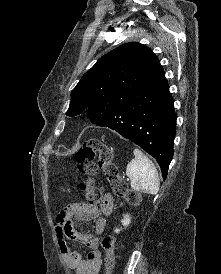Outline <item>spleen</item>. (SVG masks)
Returning <instances> with one entry per match:
<instances>
[{
	"mask_svg": "<svg viewBox=\"0 0 221 274\" xmlns=\"http://www.w3.org/2000/svg\"><path fill=\"white\" fill-rule=\"evenodd\" d=\"M133 153L135 158L126 168V174L131 179V187L135 191L157 194L160 181L155 165L139 149L135 148Z\"/></svg>",
	"mask_w": 221,
	"mask_h": 274,
	"instance_id": "3e777b00",
	"label": "spleen"
}]
</instances>
